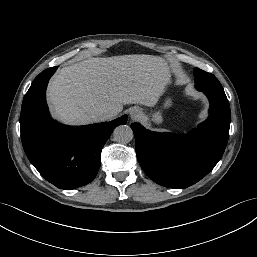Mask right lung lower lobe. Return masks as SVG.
<instances>
[{
	"label": "right lung lower lobe",
	"mask_w": 257,
	"mask_h": 257,
	"mask_svg": "<svg viewBox=\"0 0 257 257\" xmlns=\"http://www.w3.org/2000/svg\"><path fill=\"white\" fill-rule=\"evenodd\" d=\"M56 69L40 73L26 93L20 116L21 139L28 159L47 181L61 189H74L94 180L104 144L114 128L127 122V115L85 126L52 120L46 87Z\"/></svg>",
	"instance_id": "1"
}]
</instances>
